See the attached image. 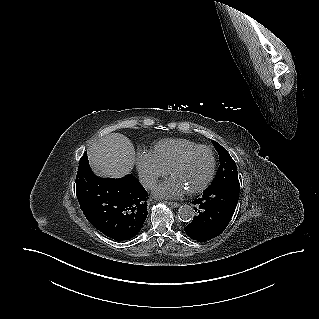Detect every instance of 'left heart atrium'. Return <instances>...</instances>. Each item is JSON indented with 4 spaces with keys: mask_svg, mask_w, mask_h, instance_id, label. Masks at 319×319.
Listing matches in <instances>:
<instances>
[{
    "mask_svg": "<svg viewBox=\"0 0 319 319\" xmlns=\"http://www.w3.org/2000/svg\"><path fill=\"white\" fill-rule=\"evenodd\" d=\"M185 188L175 179L171 178L154 189V195L161 198H175L185 192Z\"/></svg>",
    "mask_w": 319,
    "mask_h": 319,
    "instance_id": "left-heart-atrium-1",
    "label": "left heart atrium"
}]
</instances>
